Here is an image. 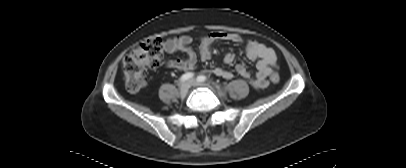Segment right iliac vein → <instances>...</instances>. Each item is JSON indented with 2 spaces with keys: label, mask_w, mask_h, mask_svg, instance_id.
<instances>
[{
  "label": "right iliac vein",
  "mask_w": 406,
  "mask_h": 168,
  "mask_svg": "<svg viewBox=\"0 0 406 168\" xmlns=\"http://www.w3.org/2000/svg\"><path fill=\"white\" fill-rule=\"evenodd\" d=\"M191 82H185L184 84H182L181 88H180V95L181 97H185L191 87Z\"/></svg>",
  "instance_id": "right-iliac-vein-1"
}]
</instances>
